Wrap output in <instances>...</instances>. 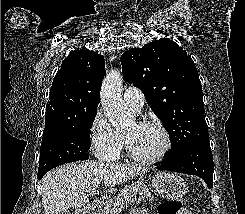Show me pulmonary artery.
Returning a JSON list of instances; mask_svg holds the SVG:
<instances>
[{"mask_svg":"<svg viewBox=\"0 0 245 214\" xmlns=\"http://www.w3.org/2000/svg\"><path fill=\"white\" fill-rule=\"evenodd\" d=\"M123 102L128 109L137 113L143 108L145 97L138 88L128 87L123 93Z\"/></svg>","mask_w":245,"mask_h":214,"instance_id":"e3ab8cb5","label":"pulmonary artery"}]
</instances>
